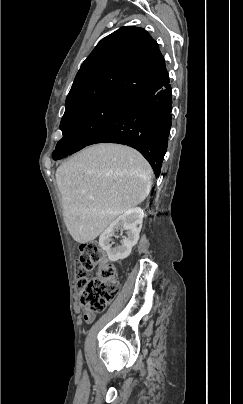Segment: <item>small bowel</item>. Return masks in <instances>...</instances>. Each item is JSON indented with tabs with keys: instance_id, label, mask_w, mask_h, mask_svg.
I'll use <instances>...</instances> for the list:
<instances>
[{
	"instance_id": "1",
	"label": "small bowel",
	"mask_w": 243,
	"mask_h": 404,
	"mask_svg": "<svg viewBox=\"0 0 243 404\" xmlns=\"http://www.w3.org/2000/svg\"><path fill=\"white\" fill-rule=\"evenodd\" d=\"M94 317H95V314L93 312H90L89 310H86L83 315V318L87 323L92 322Z\"/></svg>"
}]
</instances>
